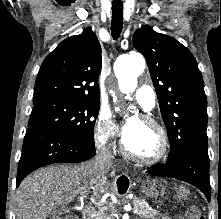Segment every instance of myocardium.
Listing matches in <instances>:
<instances>
[{
    "label": "myocardium",
    "mask_w": 221,
    "mask_h": 219,
    "mask_svg": "<svg viewBox=\"0 0 221 219\" xmlns=\"http://www.w3.org/2000/svg\"><path fill=\"white\" fill-rule=\"evenodd\" d=\"M139 120L148 126H152L158 132L159 139H160V146H159L158 152L154 156H151V157H142V156L136 155L128 150L124 139L121 141L120 150L122 154L126 156L127 158L134 160L136 162H139L141 164H144V165H154V164L160 163L167 157L169 153L170 142H169L168 133L165 127L161 123H159L158 121H156L155 119L151 117L141 116Z\"/></svg>",
    "instance_id": "myocardium-1"
}]
</instances>
